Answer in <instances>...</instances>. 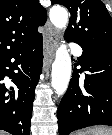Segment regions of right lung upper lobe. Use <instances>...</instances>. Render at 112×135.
<instances>
[{"instance_id":"right-lung-upper-lobe-1","label":"right lung upper lobe","mask_w":112,"mask_h":135,"mask_svg":"<svg viewBox=\"0 0 112 135\" xmlns=\"http://www.w3.org/2000/svg\"><path fill=\"white\" fill-rule=\"evenodd\" d=\"M46 20L38 0H0V58L40 36Z\"/></svg>"}]
</instances>
